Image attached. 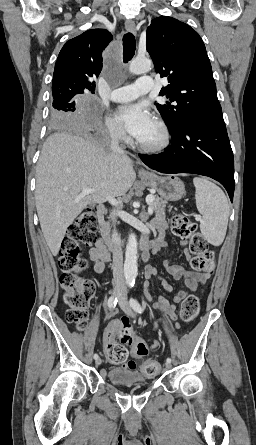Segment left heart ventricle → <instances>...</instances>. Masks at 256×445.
Listing matches in <instances>:
<instances>
[{
	"instance_id": "b2bd125f",
	"label": "left heart ventricle",
	"mask_w": 256,
	"mask_h": 445,
	"mask_svg": "<svg viewBox=\"0 0 256 445\" xmlns=\"http://www.w3.org/2000/svg\"><path fill=\"white\" fill-rule=\"evenodd\" d=\"M160 139V131L156 124L154 123L151 129L138 141L145 144H153L156 143Z\"/></svg>"
}]
</instances>
